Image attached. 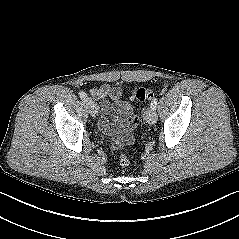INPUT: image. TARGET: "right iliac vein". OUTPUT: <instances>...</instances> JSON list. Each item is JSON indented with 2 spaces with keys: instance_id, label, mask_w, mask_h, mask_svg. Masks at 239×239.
I'll list each match as a JSON object with an SVG mask.
<instances>
[{
  "instance_id": "1",
  "label": "right iliac vein",
  "mask_w": 239,
  "mask_h": 239,
  "mask_svg": "<svg viewBox=\"0 0 239 239\" xmlns=\"http://www.w3.org/2000/svg\"><path fill=\"white\" fill-rule=\"evenodd\" d=\"M85 101H86L87 108H88V111L91 114V116H93V117L97 116L98 108H97V105L95 104V102L90 98L86 99Z\"/></svg>"
}]
</instances>
